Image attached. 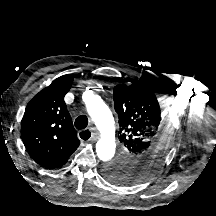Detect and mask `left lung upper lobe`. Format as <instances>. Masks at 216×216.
<instances>
[{
    "mask_svg": "<svg viewBox=\"0 0 216 216\" xmlns=\"http://www.w3.org/2000/svg\"><path fill=\"white\" fill-rule=\"evenodd\" d=\"M149 83L117 85L114 108L119 119L121 152L104 168L105 177L120 185L150 175L167 157L172 144L169 116L160 109Z\"/></svg>",
    "mask_w": 216,
    "mask_h": 216,
    "instance_id": "obj_1",
    "label": "left lung upper lobe"
}]
</instances>
